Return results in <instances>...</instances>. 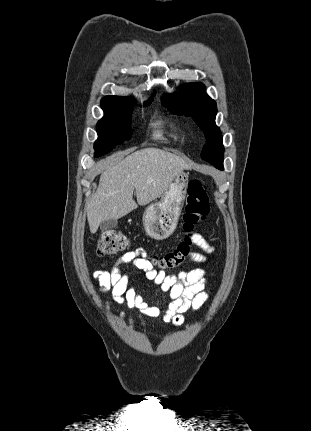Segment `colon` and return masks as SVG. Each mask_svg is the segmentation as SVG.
<instances>
[{
	"label": "colon",
	"instance_id": "obj_1",
	"mask_svg": "<svg viewBox=\"0 0 311 431\" xmlns=\"http://www.w3.org/2000/svg\"><path fill=\"white\" fill-rule=\"evenodd\" d=\"M209 213V199L204 182L191 179L187 185V197L183 215L185 237L177 247L162 255H154L152 261L161 269H176L188 258L193 243L195 229L206 219ZM129 238L120 231L110 230L101 234L97 244L99 256H108L124 251L130 246Z\"/></svg>",
	"mask_w": 311,
	"mask_h": 431
}]
</instances>
